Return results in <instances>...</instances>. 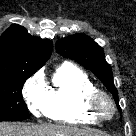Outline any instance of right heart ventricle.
<instances>
[{
  "mask_svg": "<svg viewBox=\"0 0 136 136\" xmlns=\"http://www.w3.org/2000/svg\"><path fill=\"white\" fill-rule=\"evenodd\" d=\"M98 89L89 76L71 63H63L53 74L43 114L68 124H97L87 108V100Z\"/></svg>",
  "mask_w": 136,
  "mask_h": 136,
  "instance_id": "e07e8e85",
  "label": "right heart ventricle"
}]
</instances>
